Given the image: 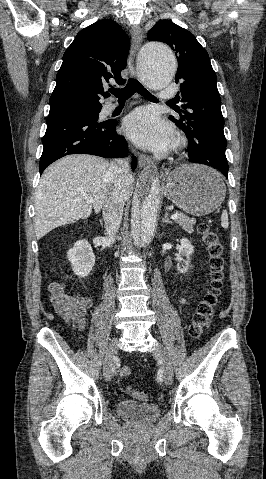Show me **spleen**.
I'll return each instance as SVG.
<instances>
[{"label": "spleen", "mask_w": 266, "mask_h": 479, "mask_svg": "<svg viewBox=\"0 0 266 479\" xmlns=\"http://www.w3.org/2000/svg\"><path fill=\"white\" fill-rule=\"evenodd\" d=\"M221 226L225 229L229 226L228 214L226 210H224L221 215Z\"/></svg>", "instance_id": "obj_1"}]
</instances>
